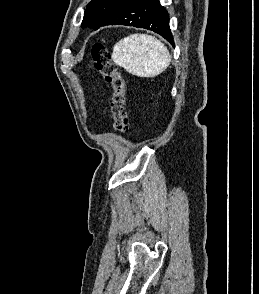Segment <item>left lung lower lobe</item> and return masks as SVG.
I'll use <instances>...</instances> for the list:
<instances>
[{
  "instance_id": "left-lung-lower-lobe-1",
  "label": "left lung lower lobe",
  "mask_w": 259,
  "mask_h": 294,
  "mask_svg": "<svg viewBox=\"0 0 259 294\" xmlns=\"http://www.w3.org/2000/svg\"><path fill=\"white\" fill-rule=\"evenodd\" d=\"M106 25H127L152 30L174 46L169 15L159 0H126L113 9L100 27Z\"/></svg>"
}]
</instances>
